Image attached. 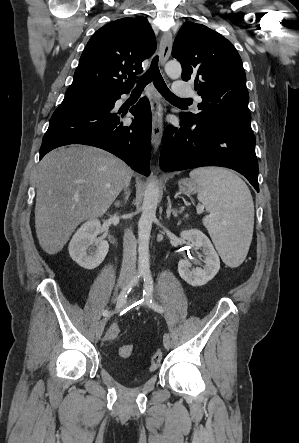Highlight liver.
Wrapping results in <instances>:
<instances>
[{"label":"liver","instance_id":"obj_1","mask_svg":"<svg viewBox=\"0 0 299 443\" xmlns=\"http://www.w3.org/2000/svg\"><path fill=\"white\" fill-rule=\"evenodd\" d=\"M133 172L101 149L72 145L49 152L36 175L35 228L41 248L61 251L84 220L103 216Z\"/></svg>","mask_w":299,"mask_h":443}]
</instances>
